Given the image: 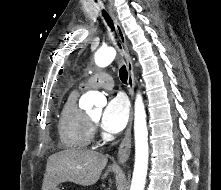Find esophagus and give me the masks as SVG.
<instances>
[{"label":"esophagus","mask_w":221,"mask_h":190,"mask_svg":"<svg viewBox=\"0 0 221 190\" xmlns=\"http://www.w3.org/2000/svg\"><path fill=\"white\" fill-rule=\"evenodd\" d=\"M109 12H110L111 18L114 22L117 34L119 36V39H120L122 47H123V53H124V56L126 59L127 70H128V81H127L128 82V89H129V94H130L131 100L133 101L134 84H135L134 71H133V63H132V59H131V56L129 53V48H128L126 36H125V33L122 29L121 24L119 23L118 19L116 18V16L114 15V13L110 7H109ZM132 120H133V110L131 109L128 127L126 129L125 136H124V138L118 148L117 159L120 164H124L129 159V156H130Z\"/></svg>","instance_id":"34e87169"}]
</instances>
